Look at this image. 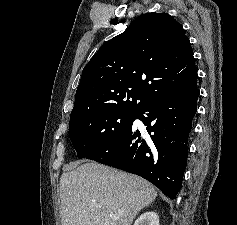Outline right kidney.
<instances>
[{"mask_svg":"<svg viewBox=\"0 0 237 225\" xmlns=\"http://www.w3.org/2000/svg\"><path fill=\"white\" fill-rule=\"evenodd\" d=\"M134 225H159V217L156 212H145L135 221Z\"/></svg>","mask_w":237,"mask_h":225,"instance_id":"1","label":"right kidney"}]
</instances>
